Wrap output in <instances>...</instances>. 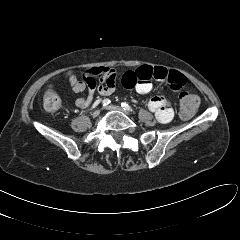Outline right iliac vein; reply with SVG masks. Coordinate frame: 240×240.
Returning a JSON list of instances; mask_svg holds the SVG:
<instances>
[{
    "instance_id": "right-iliac-vein-1",
    "label": "right iliac vein",
    "mask_w": 240,
    "mask_h": 240,
    "mask_svg": "<svg viewBox=\"0 0 240 240\" xmlns=\"http://www.w3.org/2000/svg\"><path fill=\"white\" fill-rule=\"evenodd\" d=\"M100 114V110H95L92 114L93 118H96Z\"/></svg>"
}]
</instances>
